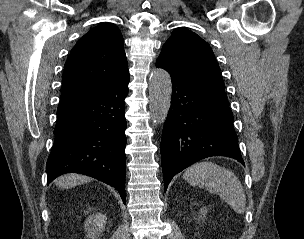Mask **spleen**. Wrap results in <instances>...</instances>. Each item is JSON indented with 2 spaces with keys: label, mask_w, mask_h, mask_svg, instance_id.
Masks as SVG:
<instances>
[{
  "label": "spleen",
  "mask_w": 304,
  "mask_h": 239,
  "mask_svg": "<svg viewBox=\"0 0 304 239\" xmlns=\"http://www.w3.org/2000/svg\"><path fill=\"white\" fill-rule=\"evenodd\" d=\"M183 178L192 186L206 188L218 194L235 212L243 214L246 210V196L236 175L213 162H198L187 168Z\"/></svg>",
  "instance_id": "3e777b00"
}]
</instances>
